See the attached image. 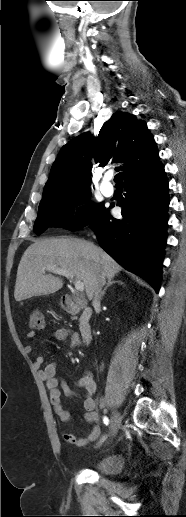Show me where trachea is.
<instances>
[{"instance_id": "3493384b", "label": "trachea", "mask_w": 186, "mask_h": 517, "mask_svg": "<svg viewBox=\"0 0 186 517\" xmlns=\"http://www.w3.org/2000/svg\"><path fill=\"white\" fill-rule=\"evenodd\" d=\"M121 177H122V173H118L117 175H115L114 177V181L116 182L117 185H121Z\"/></svg>"}]
</instances>
